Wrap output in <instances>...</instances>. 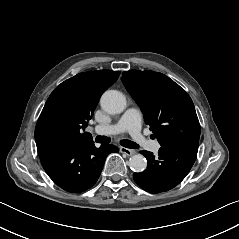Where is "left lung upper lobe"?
<instances>
[{
	"label": "left lung upper lobe",
	"instance_id": "left-lung-upper-lobe-1",
	"mask_svg": "<svg viewBox=\"0 0 239 239\" xmlns=\"http://www.w3.org/2000/svg\"><path fill=\"white\" fill-rule=\"evenodd\" d=\"M121 80L161 146L198 145L200 124L195 107L178 84L154 71H126Z\"/></svg>",
	"mask_w": 239,
	"mask_h": 239
}]
</instances>
